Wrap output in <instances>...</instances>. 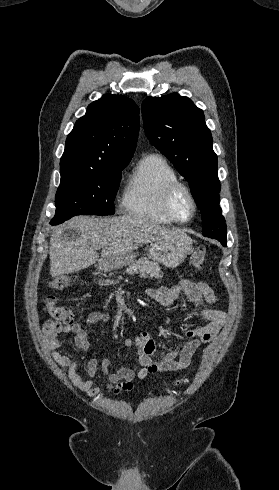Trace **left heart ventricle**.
<instances>
[{"instance_id": "left-heart-ventricle-1", "label": "left heart ventricle", "mask_w": 279, "mask_h": 490, "mask_svg": "<svg viewBox=\"0 0 279 490\" xmlns=\"http://www.w3.org/2000/svg\"><path fill=\"white\" fill-rule=\"evenodd\" d=\"M177 207L180 218L186 219L191 212V203L185 193L179 197Z\"/></svg>"}]
</instances>
